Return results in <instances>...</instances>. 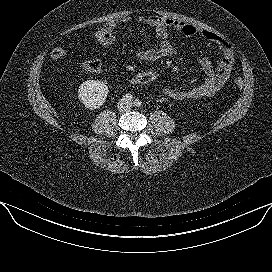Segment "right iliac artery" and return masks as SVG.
I'll use <instances>...</instances> for the list:
<instances>
[{"label":"right iliac artery","instance_id":"right-iliac-artery-1","mask_svg":"<svg viewBox=\"0 0 272 272\" xmlns=\"http://www.w3.org/2000/svg\"><path fill=\"white\" fill-rule=\"evenodd\" d=\"M132 99H133V96H132L130 93H128V94H126V95L124 96V100H125V101H132Z\"/></svg>","mask_w":272,"mask_h":272}]
</instances>
